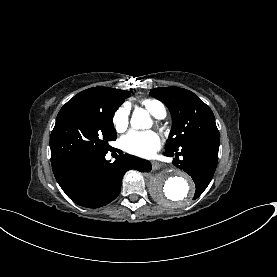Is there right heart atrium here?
<instances>
[{
	"label": "right heart atrium",
	"instance_id": "1",
	"mask_svg": "<svg viewBox=\"0 0 277 277\" xmlns=\"http://www.w3.org/2000/svg\"><path fill=\"white\" fill-rule=\"evenodd\" d=\"M113 124L118 132H123L128 127V112L125 108H120L116 111L113 117Z\"/></svg>",
	"mask_w": 277,
	"mask_h": 277
}]
</instances>
